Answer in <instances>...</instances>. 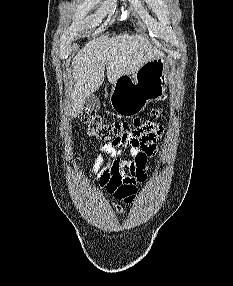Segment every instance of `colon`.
Segmentation results:
<instances>
[{"instance_id":"colon-1","label":"colon","mask_w":233,"mask_h":286,"mask_svg":"<svg viewBox=\"0 0 233 286\" xmlns=\"http://www.w3.org/2000/svg\"><path fill=\"white\" fill-rule=\"evenodd\" d=\"M161 109L157 108L152 111L153 117L161 114ZM87 133L99 141H116L125 137L135 136L142 130L144 124L140 119H135L129 123L126 121H107L102 116L92 110L85 109L80 114Z\"/></svg>"}]
</instances>
